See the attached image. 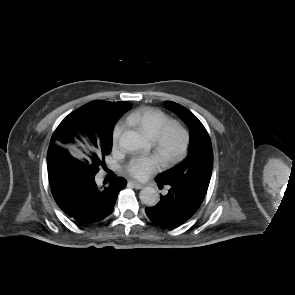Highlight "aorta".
<instances>
[{"instance_id":"1","label":"aorta","mask_w":295,"mask_h":295,"mask_svg":"<svg viewBox=\"0 0 295 295\" xmlns=\"http://www.w3.org/2000/svg\"><path fill=\"white\" fill-rule=\"evenodd\" d=\"M119 145L125 150L137 151L144 147L145 141L137 132L128 130L121 135ZM139 198L143 204L154 206L159 201V194L155 188L145 187L140 191Z\"/></svg>"}]
</instances>
